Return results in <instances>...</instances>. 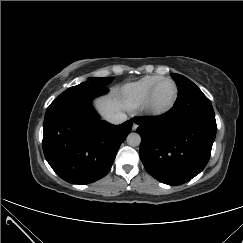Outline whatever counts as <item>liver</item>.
<instances>
[{
    "label": "liver",
    "mask_w": 243,
    "mask_h": 243,
    "mask_svg": "<svg viewBox=\"0 0 243 243\" xmlns=\"http://www.w3.org/2000/svg\"><path fill=\"white\" fill-rule=\"evenodd\" d=\"M94 103L104 117L108 114L119 112L122 107L117 89H113L110 96L97 98Z\"/></svg>",
    "instance_id": "1"
}]
</instances>
